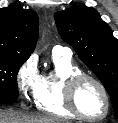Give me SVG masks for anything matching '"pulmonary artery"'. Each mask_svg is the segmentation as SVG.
<instances>
[{"instance_id": "pulmonary-artery-1", "label": "pulmonary artery", "mask_w": 118, "mask_h": 123, "mask_svg": "<svg viewBox=\"0 0 118 123\" xmlns=\"http://www.w3.org/2000/svg\"><path fill=\"white\" fill-rule=\"evenodd\" d=\"M52 55L53 56H62L66 58H71L72 56V51L68 47H63L60 45L54 46L52 49Z\"/></svg>"}]
</instances>
